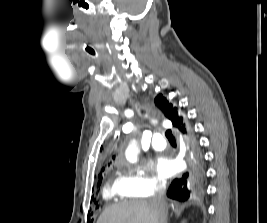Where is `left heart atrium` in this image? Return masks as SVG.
<instances>
[{
    "label": "left heart atrium",
    "mask_w": 267,
    "mask_h": 223,
    "mask_svg": "<svg viewBox=\"0 0 267 223\" xmlns=\"http://www.w3.org/2000/svg\"><path fill=\"white\" fill-rule=\"evenodd\" d=\"M177 164L174 159L170 157H162L158 159L157 162V171L160 176L164 178L171 177L177 172Z\"/></svg>",
    "instance_id": "obj_1"
}]
</instances>
